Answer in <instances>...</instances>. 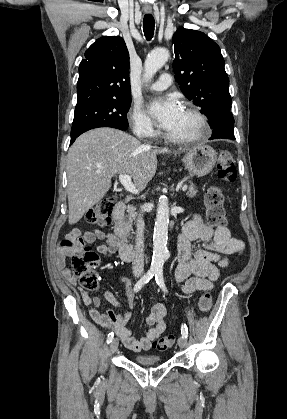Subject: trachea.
<instances>
[{
    "label": "trachea",
    "mask_w": 287,
    "mask_h": 419,
    "mask_svg": "<svg viewBox=\"0 0 287 419\" xmlns=\"http://www.w3.org/2000/svg\"><path fill=\"white\" fill-rule=\"evenodd\" d=\"M155 21L151 14H146L143 19V31L146 39L150 40L154 34Z\"/></svg>",
    "instance_id": "obj_1"
}]
</instances>
